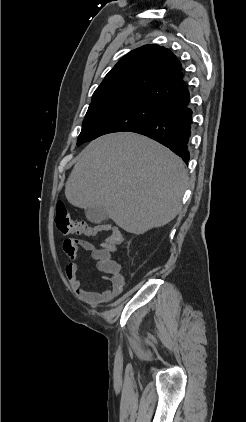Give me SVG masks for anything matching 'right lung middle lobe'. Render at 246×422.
I'll list each match as a JSON object with an SVG mask.
<instances>
[{"label":"right lung middle lobe","mask_w":246,"mask_h":422,"mask_svg":"<svg viewBox=\"0 0 246 422\" xmlns=\"http://www.w3.org/2000/svg\"><path fill=\"white\" fill-rule=\"evenodd\" d=\"M158 114V106L138 103H114L89 107L77 145L104 134L129 131Z\"/></svg>","instance_id":"dd1d6c3e"}]
</instances>
